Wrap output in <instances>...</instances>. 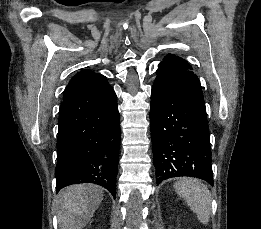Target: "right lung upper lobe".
<instances>
[{
    "label": "right lung upper lobe",
    "instance_id": "obj_1",
    "mask_svg": "<svg viewBox=\"0 0 261 229\" xmlns=\"http://www.w3.org/2000/svg\"><path fill=\"white\" fill-rule=\"evenodd\" d=\"M101 74L98 73H94L90 70H83L79 73H77L69 82V84L67 85L65 91H64V99L71 94L72 92H74L75 90L81 88L82 86H84L85 84L101 77Z\"/></svg>",
    "mask_w": 261,
    "mask_h": 229
}]
</instances>
